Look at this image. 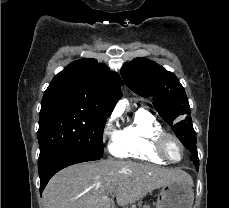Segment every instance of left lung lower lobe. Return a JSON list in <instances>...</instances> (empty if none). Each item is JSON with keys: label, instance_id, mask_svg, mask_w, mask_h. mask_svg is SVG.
<instances>
[{"label": "left lung lower lobe", "instance_id": "obj_1", "mask_svg": "<svg viewBox=\"0 0 229 208\" xmlns=\"http://www.w3.org/2000/svg\"><path fill=\"white\" fill-rule=\"evenodd\" d=\"M183 145L191 152L193 155L190 157V160L193 161L196 170H199V159H198V153L196 149V141L190 142V143H183Z\"/></svg>", "mask_w": 229, "mask_h": 208}]
</instances>
